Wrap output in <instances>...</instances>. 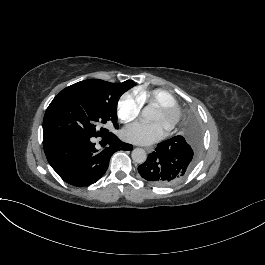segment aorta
Returning a JSON list of instances; mask_svg holds the SVG:
<instances>
[{"instance_id": "762f6f07", "label": "aorta", "mask_w": 265, "mask_h": 265, "mask_svg": "<svg viewBox=\"0 0 265 265\" xmlns=\"http://www.w3.org/2000/svg\"><path fill=\"white\" fill-rule=\"evenodd\" d=\"M148 114H149V109L148 108H145L143 111H142V116L144 118H147L148 117ZM132 159L134 162L138 163V164H142L146 161L147 159V154L145 152L144 149L142 148H136L132 151Z\"/></svg>"}]
</instances>
